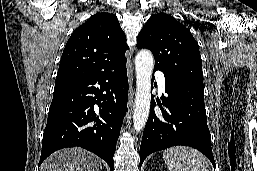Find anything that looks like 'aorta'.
Wrapping results in <instances>:
<instances>
[{
	"label": "aorta",
	"instance_id": "aorta-1",
	"mask_svg": "<svg viewBox=\"0 0 257 171\" xmlns=\"http://www.w3.org/2000/svg\"><path fill=\"white\" fill-rule=\"evenodd\" d=\"M154 58L149 50H141L135 58L136 95L133 114L134 129L140 132L148 119L151 102V77Z\"/></svg>",
	"mask_w": 257,
	"mask_h": 171
}]
</instances>
